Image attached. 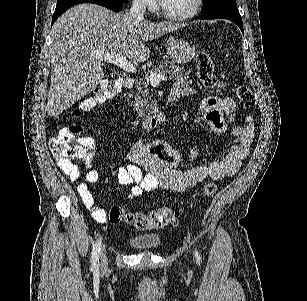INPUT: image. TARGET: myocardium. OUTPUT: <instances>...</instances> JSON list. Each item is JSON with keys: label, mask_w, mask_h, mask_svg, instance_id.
Here are the masks:
<instances>
[{"label": "myocardium", "mask_w": 307, "mask_h": 301, "mask_svg": "<svg viewBox=\"0 0 307 301\" xmlns=\"http://www.w3.org/2000/svg\"><path fill=\"white\" fill-rule=\"evenodd\" d=\"M201 0H194L190 11H170L166 4L157 1L154 12H161L160 16L167 18L168 22H184L185 18L195 17Z\"/></svg>", "instance_id": "myocardium-1"}]
</instances>
